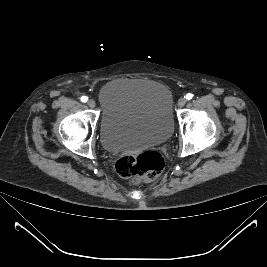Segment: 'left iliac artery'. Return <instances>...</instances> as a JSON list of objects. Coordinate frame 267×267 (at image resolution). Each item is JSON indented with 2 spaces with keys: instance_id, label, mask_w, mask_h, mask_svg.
<instances>
[{
  "instance_id": "obj_1",
  "label": "left iliac artery",
  "mask_w": 267,
  "mask_h": 267,
  "mask_svg": "<svg viewBox=\"0 0 267 267\" xmlns=\"http://www.w3.org/2000/svg\"><path fill=\"white\" fill-rule=\"evenodd\" d=\"M192 96H193V95H192L191 93H188V94L186 95V99H187V100H190V99H192Z\"/></svg>"
}]
</instances>
